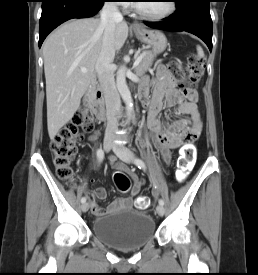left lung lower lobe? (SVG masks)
Returning <instances> with one entry per match:
<instances>
[{
    "label": "left lung lower lobe",
    "instance_id": "1",
    "mask_svg": "<svg viewBox=\"0 0 258 275\" xmlns=\"http://www.w3.org/2000/svg\"><path fill=\"white\" fill-rule=\"evenodd\" d=\"M176 12L164 22H144L154 29L186 31L201 38L212 50L210 0H175Z\"/></svg>",
    "mask_w": 258,
    "mask_h": 275
}]
</instances>
